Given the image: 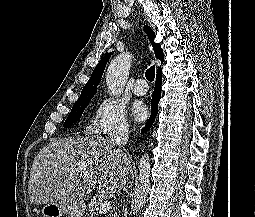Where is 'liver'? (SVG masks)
Here are the masks:
<instances>
[{
	"instance_id": "6515ba94",
	"label": "liver",
	"mask_w": 255,
	"mask_h": 217,
	"mask_svg": "<svg viewBox=\"0 0 255 217\" xmlns=\"http://www.w3.org/2000/svg\"><path fill=\"white\" fill-rule=\"evenodd\" d=\"M131 173L128 156L113 149L111 141L102 136L54 141L40 150L32 164L30 202L43 205L75 201L95 187L100 193H117Z\"/></svg>"
}]
</instances>
